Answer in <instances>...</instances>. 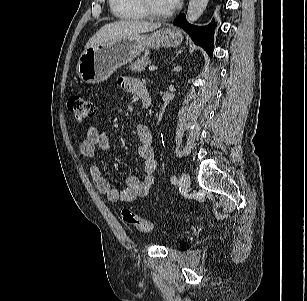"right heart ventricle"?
Wrapping results in <instances>:
<instances>
[{"mask_svg":"<svg viewBox=\"0 0 307 301\" xmlns=\"http://www.w3.org/2000/svg\"><path fill=\"white\" fill-rule=\"evenodd\" d=\"M112 13L122 20H140L146 17L138 0H109Z\"/></svg>","mask_w":307,"mask_h":301,"instance_id":"e07e8e85","label":"right heart ventricle"}]
</instances>
